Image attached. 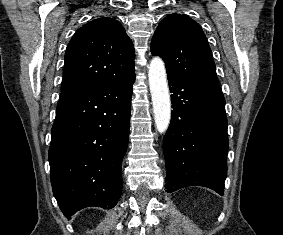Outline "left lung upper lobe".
<instances>
[{
    "instance_id": "left-lung-upper-lobe-1",
    "label": "left lung upper lobe",
    "mask_w": 283,
    "mask_h": 235,
    "mask_svg": "<svg viewBox=\"0 0 283 235\" xmlns=\"http://www.w3.org/2000/svg\"><path fill=\"white\" fill-rule=\"evenodd\" d=\"M151 53L163 58L167 75L219 87L216 67L201 26L186 15L171 14L158 25Z\"/></svg>"
}]
</instances>
